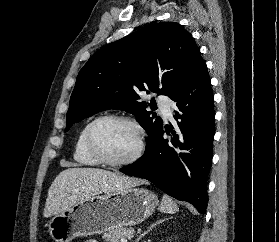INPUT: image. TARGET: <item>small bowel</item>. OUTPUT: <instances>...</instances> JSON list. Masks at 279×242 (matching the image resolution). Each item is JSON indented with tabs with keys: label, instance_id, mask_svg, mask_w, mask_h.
<instances>
[{
	"label": "small bowel",
	"instance_id": "obj_1",
	"mask_svg": "<svg viewBox=\"0 0 279 242\" xmlns=\"http://www.w3.org/2000/svg\"><path fill=\"white\" fill-rule=\"evenodd\" d=\"M85 242H97L96 240H87Z\"/></svg>",
	"mask_w": 279,
	"mask_h": 242
}]
</instances>
